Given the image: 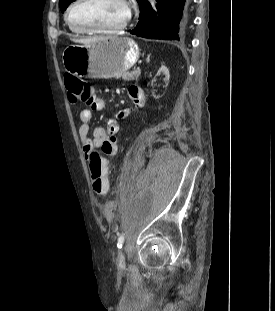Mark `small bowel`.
<instances>
[{
    "mask_svg": "<svg viewBox=\"0 0 275 311\" xmlns=\"http://www.w3.org/2000/svg\"><path fill=\"white\" fill-rule=\"evenodd\" d=\"M128 95L130 99L140 104L143 99V91L138 86H130L128 88ZM103 108V103L99 100L91 103L90 108L82 109L79 113L80 125L78 128V134L83 150V154L87 160H90L93 153L97 148H100L102 153L107 156H115L117 153V140L116 136L119 131V124L117 119L128 116L131 113V109H125L117 113L115 119H111L107 122L105 127H95L90 129V121L92 118L93 110H100Z\"/></svg>",
    "mask_w": 275,
    "mask_h": 311,
    "instance_id": "obj_1",
    "label": "small bowel"
}]
</instances>
